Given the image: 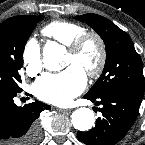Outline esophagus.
<instances>
[{
  "mask_svg": "<svg viewBox=\"0 0 145 145\" xmlns=\"http://www.w3.org/2000/svg\"><path fill=\"white\" fill-rule=\"evenodd\" d=\"M57 110L60 111V112H69V111H71L70 109H62V108H59Z\"/></svg>",
  "mask_w": 145,
  "mask_h": 145,
  "instance_id": "34e87169",
  "label": "esophagus"
}]
</instances>
